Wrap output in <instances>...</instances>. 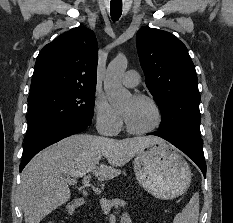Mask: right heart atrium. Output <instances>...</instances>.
Listing matches in <instances>:
<instances>
[{
	"label": "right heart atrium",
	"mask_w": 233,
	"mask_h": 223,
	"mask_svg": "<svg viewBox=\"0 0 233 223\" xmlns=\"http://www.w3.org/2000/svg\"><path fill=\"white\" fill-rule=\"evenodd\" d=\"M93 109L95 125L100 132L107 135L119 133L122 127L121 116L104 97H95Z\"/></svg>",
	"instance_id": "right-heart-atrium-1"
}]
</instances>
